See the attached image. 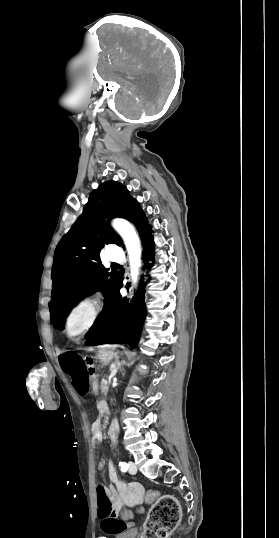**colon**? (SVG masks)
Listing matches in <instances>:
<instances>
[{"label":"colon","mask_w":279,"mask_h":538,"mask_svg":"<svg viewBox=\"0 0 279 538\" xmlns=\"http://www.w3.org/2000/svg\"><path fill=\"white\" fill-rule=\"evenodd\" d=\"M146 500L153 506L145 524L143 538H167L180 520L179 502L171 495L159 497L156 491H149ZM97 503L101 517L112 515L113 509L108 491L102 484L97 485Z\"/></svg>","instance_id":"5ec220e1"}]
</instances>
